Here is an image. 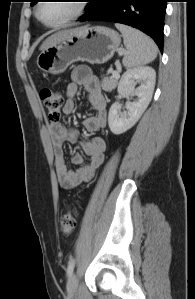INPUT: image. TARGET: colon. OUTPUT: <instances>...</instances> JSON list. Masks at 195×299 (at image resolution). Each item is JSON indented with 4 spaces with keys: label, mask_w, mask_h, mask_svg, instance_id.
<instances>
[{
    "label": "colon",
    "mask_w": 195,
    "mask_h": 299,
    "mask_svg": "<svg viewBox=\"0 0 195 299\" xmlns=\"http://www.w3.org/2000/svg\"><path fill=\"white\" fill-rule=\"evenodd\" d=\"M40 99L46 109L49 120L51 122H58L64 102L62 93L50 87H43L40 90ZM77 215L78 212L76 209L69 208L61 217L60 230L64 235H70L75 230Z\"/></svg>",
    "instance_id": "colon-1"
}]
</instances>
